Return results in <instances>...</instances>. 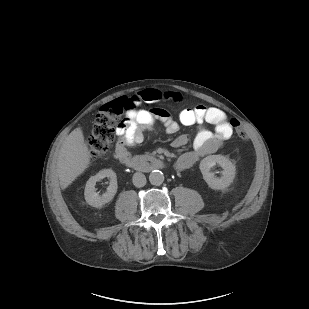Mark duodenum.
<instances>
[{"mask_svg": "<svg viewBox=\"0 0 309 309\" xmlns=\"http://www.w3.org/2000/svg\"><path fill=\"white\" fill-rule=\"evenodd\" d=\"M127 167L141 170V171H154L160 170L165 167V163L156 157H145L139 159H129L124 160Z\"/></svg>", "mask_w": 309, "mask_h": 309, "instance_id": "410a0bca", "label": "duodenum"}]
</instances>
